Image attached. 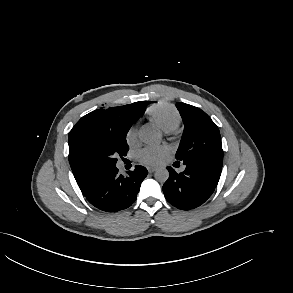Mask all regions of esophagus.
Returning a JSON list of instances; mask_svg holds the SVG:
<instances>
[{
    "label": "esophagus",
    "instance_id": "1",
    "mask_svg": "<svg viewBox=\"0 0 293 293\" xmlns=\"http://www.w3.org/2000/svg\"><path fill=\"white\" fill-rule=\"evenodd\" d=\"M147 170H148L149 173H153V172H155L157 170V168L156 167H152V166H148L147 167Z\"/></svg>",
    "mask_w": 293,
    "mask_h": 293
}]
</instances>
